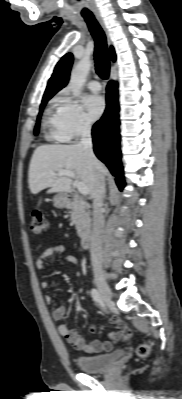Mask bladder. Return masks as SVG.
<instances>
[{
	"mask_svg": "<svg viewBox=\"0 0 182 399\" xmlns=\"http://www.w3.org/2000/svg\"><path fill=\"white\" fill-rule=\"evenodd\" d=\"M123 356L124 351L117 349L109 354L94 357L78 356L75 358V362L84 373H101L109 370Z\"/></svg>",
	"mask_w": 182,
	"mask_h": 399,
	"instance_id": "31cf9c89",
	"label": "bladder"
}]
</instances>
